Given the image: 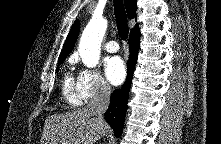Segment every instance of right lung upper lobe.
Instances as JSON below:
<instances>
[{
	"instance_id": "right-lung-upper-lobe-1",
	"label": "right lung upper lobe",
	"mask_w": 221,
	"mask_h": 144,
	"mask_svg": "<svg viewBox=\"0 0 221 144\" xmlns=\"http://www.w3.org/2000/svg\"><path fill=\"white\" fill-rule=\"evenodd\" d=\"M126 11L129 18H133L135 16L137 7H136V0H124ZM80 30V23L79 20H76L72 25V28L67 36L63 49L61 51L60 57L58 62H63L64 59L69 55L70 51L73 49L75 42L77 41L78 34ZM139 30L138 24L131 30L130 33Z\"/></svg>"
}]
</instances>
